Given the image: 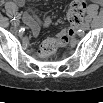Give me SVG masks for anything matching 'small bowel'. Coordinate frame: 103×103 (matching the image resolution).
<instances>
[{"instance_id":"c3829d8e","label":"small bowel","mask_w":103,"mask_h":103,"mask_svg":"<svg viewBox=\"0 0 103 103\" xmlns=\"http://www.w3.org/2000/svg\"><path fill=\"white\" fill-rule=\"evenodd\" d=\"M15 4L17 6L24 5L23 1L21 0L15 2ZM22 18H23V22L28 26V28L30 29V32L32 33L34 37H38L40 34L41 28L43 26L49 25L50 23V20L47 18L43 20L36 18L32 10H27L26 12H24Z\"/></svg>"}]
</instances>
